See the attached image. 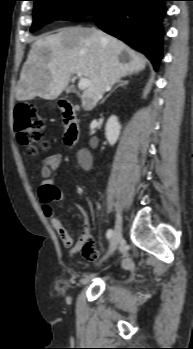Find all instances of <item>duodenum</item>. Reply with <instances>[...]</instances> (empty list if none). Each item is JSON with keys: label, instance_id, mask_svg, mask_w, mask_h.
<instances>
[{"label": "duodenum", "instance_id": "obj_1", "mask_svg": "<svg viewBox=\"0 0 193 349\" xmlns=\"http://www.w3.org/2000/svg\"><path fill=\"white\" fill-rule=\"evenodd\" d=\"M59 107L63 114L64 125L66 131L64 134L65 144L72 147L79 140L80 136V125L77 118L76 107L73 103L61 100L59 102Z\"/></svg>", "mask_w": 193, "mask_h": 349}]
</instances>
